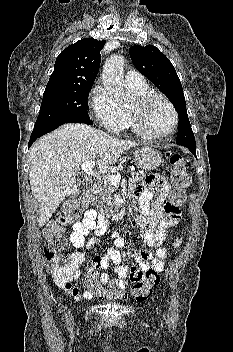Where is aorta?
<instances>
[{"label":"aorta","instance_id":"1","mask_svg":"<svg viewBox=\"0 0 233 352\" xmlns=\"http://www.w3.org/2000/svg\"><path fill=\"white\" fill-rule=\"evenodd\" d=\"M123 69V57L113 55L106 60L102 71L104 88L122 105L129 103L133 99L132 92L125 85Z\"/></svg>","mask_w":233,"mask_h":352}]
</instances>
